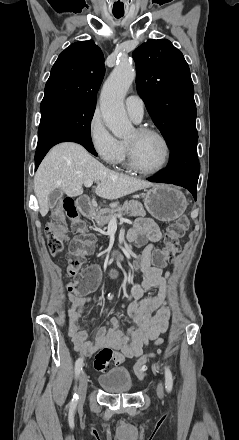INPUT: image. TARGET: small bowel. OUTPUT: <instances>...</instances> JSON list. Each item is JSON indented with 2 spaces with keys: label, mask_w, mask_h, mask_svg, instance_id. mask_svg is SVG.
Listing matches in <instances>:
<instances>
[{
  "label": "small bowel",
  "mask_w": 239,
  "mask_h": 440,
  "mask_svg": "<svg viewBox=\"0 0 239 440\" xmlns=\"http://www.w3.org/2000/svg\"><path fill=\"white\" fill-rule=\"evenodd\" d=\"M128 239L140 245H147L142 253L140 268L141 279L131 288L132 300L126 311V321L131 325L126 332L120 329L118 315L100 327L93 339H89L87 329L81 320L86 305L91 298L84 295L96 285L90 286L85 292H78L75 283L67 285L71 309L67 311V331L74 349L84 356H90L103 349L114 352V364L120 365L128 358L139 357L150 341L161 344V334L169 327L170 309L167 304L169 272L163 267L152 264V256L156 251L155 244L161 239L157 224L150 218H138L128 233ZM96 266H90L88 268ZM157 288L153 297H144L146 291Z\"/></svg>",
  "instance_id": "c3829d8e"
}]
</instances>
